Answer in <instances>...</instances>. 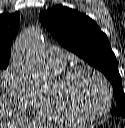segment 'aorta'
<instances>
[{"instance_id":"762f6f07","label":"aorta","mask_w":125,"mask_h":128,"mask_svg":"<svg viewBox=\"0 0 125 128\" xmlns=\"http://www.w3.org/2000/svg\"><path fill=\"white\" fill-rule=\"evenodd\" d=\"M43 40L39 29L25 30L15 41L14 60L37 87L48 89L53 84V77L42 58Z\"/></svg>"}]
</instances>
